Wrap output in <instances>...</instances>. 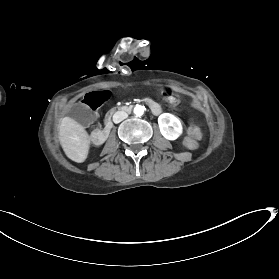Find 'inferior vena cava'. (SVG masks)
<instances>
[{
  "label": "inferior vena cava",
  "mask_w": 279,
  "mask_h": 279,
  "mask_svg": "<svg viewBox=\"0 0 279 279\" xmlns=\"http://www.w3.org/2000/svg\"><path fill=\"white\" fill-rule=\"evenodd\" d=\"M127 113L126 112H124V111H118V112H116L115 114H114V116H113V121L115 122V123H119V122H121L123 119H125V118H127Z\"/></svg>",
  "instance_id": "obj_1"
}]
</instances>
